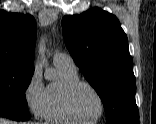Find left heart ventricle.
I'll list each match as a JSON object with an SVG mask.
<instances>
[{
	"mask_svg": "<svg viewBox=\"0 0 156 124\" xmlns=\"http://www.w3.org/2000/svg\"><path fill=\"white\" fill-rule=\"evenodd\" d=\"M74 107L78 114L86 120L96 118L101 109L98 96L88 87H80L74 95Z\"/></svg>",
	"mask_w": 156,
	"mask_h": 124,
	"instance_id": "obj_1",
	"label": "left heart ventricle"
}]
</instances>
